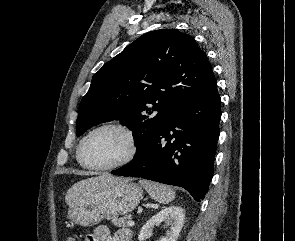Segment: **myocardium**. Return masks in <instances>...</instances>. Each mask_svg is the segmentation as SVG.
Returning a JSON list of instances; mask_svg holds the SVG:
<instances>
[{
    "label": "myocardium",
    "instance_id": "myocardium-1",
    "mask_svg": "<svg viewBox=\"0 0 295 241\" xmlns=\"http://www.w3.org/2000/svg\"><path fill=\"white\" fill-rule=\"evenodd\" d=\"M108 128L117 129L126 136L129 143V150L127 155L122 160L114 164L105 165V166L90 165L86 163L83 159V150L87 140L95 132L103 130V129H108ZM138 149H139V144H138L137 136L135 132L129 126L122 123H118V122H107L94 127L82 138L77 149V160L80 163V165L86 169L95 170V171H110V170L121 168L129 164L137 155Z\"/></svg>",
    "mask_w": 295,
    "mask_h": 241
}]
</instances>
